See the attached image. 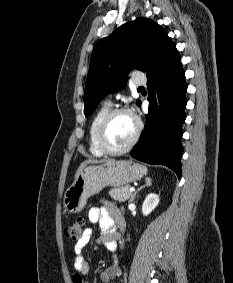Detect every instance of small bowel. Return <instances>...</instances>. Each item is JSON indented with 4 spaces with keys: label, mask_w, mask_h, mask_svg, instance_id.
<instances>
[{
    "label": "small bowel",
    "mask_w": 233,
    "mask_h": 283,
    "mask_svg": "<svg viewBox=\"0 0 233 283\" xmlns=\"http://www.w3.org/2000/svg\"><path fill=\"white\" fill-rule=\"evenodd\" d=\"M88 218L91 223L97 224L101 235L97 239V244L105 246L109 251L114 252L117 248L116 243V226L122 224V217L119 209L112 203L105 202L100 207H92L89 210ZM93 235L91 228H86L81 237L77 240L74 251V270L73 283H85L83 276L89 270V263L83 254V250L89 244ZM121 270L117 263L108 267L101 273V279L105 283L113 281L120 276Z\"/></svg>",
    "instance_id": "small-bowel-1"
}]
</instances>
